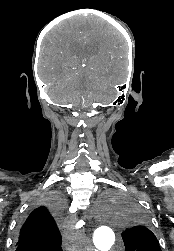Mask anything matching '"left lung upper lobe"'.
I'll list each match as a JSON object with an SVG mask.
<instances>
[{
  "label": "left lung upper lobe",
  "instance_id": "obj_1",
  "mask_svg": "<svg viewBox=\"0 0 174 251\" xmlns=\"http://www.w3.org/2000/svg\"><path fill=\"white\" fill-rule=\"evenodd\" d=\"M128 212L134 226L122 234L125 251H161L158 240L151 231L147 219L139 212L137 207H129Z\"/></svg>",
  "mask_w": 174,
  "mask_h": 251
}]
</instances>
